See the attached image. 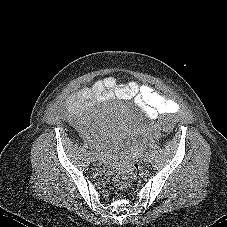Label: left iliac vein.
Masks as SVG:
<instances>
[{"label":"left iliac vein","mask_w":227,"mask_h":227,"mask_svg":"<svg viewBox=\"0 0 227 227\" xmlns=\"http://www.w3.org/2000/svg\"><path fill=\"white\" fill-rule=\"evenodd\" d=\"M145 163H149L152 160V154L150 152H146L143 158Z\"/></svg>","instance_id":"obj_1"}]
</instances>
